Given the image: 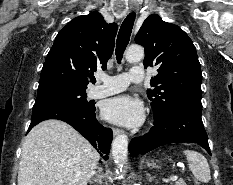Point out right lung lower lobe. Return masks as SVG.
<instances>
[{
    "label": "right lung lower lobe",
    "instance_id": "obj_1",
    "mask_svg": "<svg viewBox=\"0 0 233 185\" xmlns=\"http://www.w3.org/2000/svg\"><path fill=\"white\" fill-rule=\"evenodd\" d=\"M95 111V107L87 109L66 103H35L28 132L44 120H62L80 132L98 150L100 155L107 160L112 141V130L104 128L97 121Z\"/></svg>",
    "mask_w": 233,
    "mask_h": 185
}]
</instances>
